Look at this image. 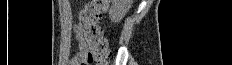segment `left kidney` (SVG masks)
<instances>
[{
  "mask_svg": "<svg viewBox=\"0 0 232 65\" xmlns=\"http://www.w3.org/2000/svg\"><path fill=\"white\" fill-rule=\"evenodd\" d=\"M132 4V0H113L109 10V17L113 22H120L127 14Z\"/></svg>",
  "mask_w": 232,
  "mask_h": 65,
  "instance_id": "obj_1",
  "label": "left kidney"
}]
</instances>
